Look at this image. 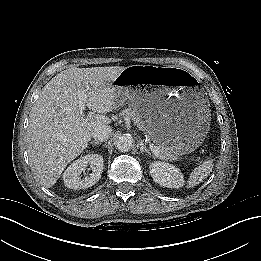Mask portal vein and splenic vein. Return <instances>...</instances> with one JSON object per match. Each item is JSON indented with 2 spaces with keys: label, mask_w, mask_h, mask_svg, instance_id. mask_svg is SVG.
Masks as SVG:
<instances>
[{
  "label": "portal vein and splenic vein",
  "mask_w": 261,
  "mask_h": 261,
  "mask_svg": "<svg viewBox=\"0 0 261 261\" xmlns=\"http://www.w3.org/2000/svg\"><path fill=\"white\" fill-rule=\"evenodd\" d=\"M79 106H80L81 110H84V109H85V102H84V101H80ZM90 113H91V112H90ZM149 147H150L152 153H153L156 157H158V158H160V159H163V158H164V157L161 155V153H160V151L158 150V148H157L153 143H150V144H149Z\"/></svg>",
  "instance_id": "1"
}]
</instances>
